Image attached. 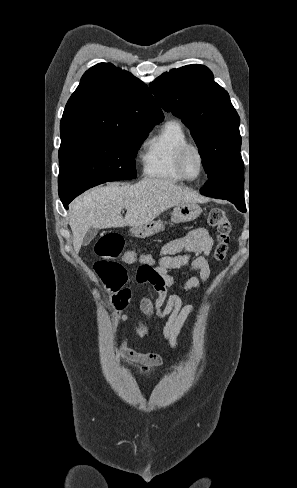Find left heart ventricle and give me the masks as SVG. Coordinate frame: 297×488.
Wrapping results in <instances>:
<instances>
[{"label": "left heart ventricle", "instance_id": "1", "mask_svg": "<svg viewBox=\"0 0 297 488\" xmlns=\"http://www.w3.org/2000/svg\"><path fill=\"white\" fill-rule=\"evenodd\" d=\"M185 169L189 176L194 177L199 173L200 161L198 155L190 151L185 159Z\"/></svg>", "mask_w": 297, "mask_h": 488}]
</instances>
